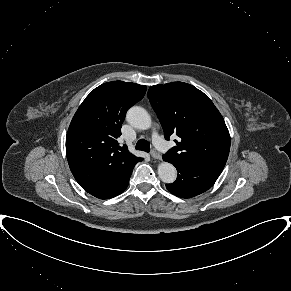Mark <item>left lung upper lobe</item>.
Segmentation results:
<instances>
[{
  "label": "left lung upper lobe",
  "instance_id": "obj_1",
  "mask_svg": "<svg viewBox=\"0 0 291 291\" xmlns=\"http://www.w3.org/2000/svg\"><path fill=\"white\" fill-rule=\"evenodd\" d=\"M148 98L163 127L165 138L178 136L165 156L188 164L224 168L230 135L213 102L194 86L183 82L151 86Z\"/></svg>",
  "mask_w": 291,
  "mask_h": 291
}]
</instances>
